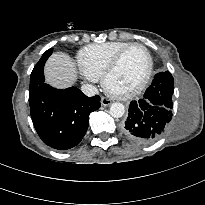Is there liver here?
Instances as JSON below:
<instances>
[{
	"label": "liver",
	"instance_id": "liver-1",
	"mask_svg": "<svg viewBox=\"0 0 205 205\" xmlns=\"http://www.w3.org/2000/svg\"><path fill=\"white\" fill-rule=\"evenodd\" d=\"M46 82L56 88H66L76 81L75 63L71 57L65 53L52 54L45 64Z\"/></svg>",
	"mask_w": 205,
	"mask_h": 205
}]
</instances>
